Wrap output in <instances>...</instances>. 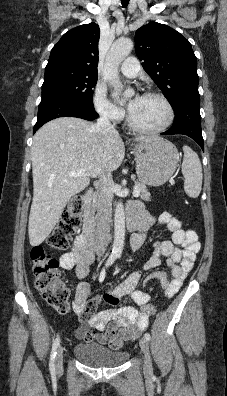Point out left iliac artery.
Wrapping results in <instances>:
<instances>
[{
	"label": "left iliac artery",
	"mask_w": 227,
	"mask_h": 396,
	"mask_svg": "<svg viewBox=\"0 0 227 396\" xmlns=\"http://www.w3.org/2000/svg\"><path fill=\"white\" fill-rule=\"evenodd\" d=\"M118 257H120V255H118ZM144 337H145L147 340H150V339H151V336H150L149 333H145Z\"/></svg>",
	"instance_id": "44dca946"
}]
</instances>
